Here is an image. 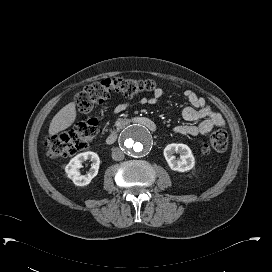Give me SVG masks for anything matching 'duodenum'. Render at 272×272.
I'll return each instance as SVG.
<instances>
[{
	"instance_id": "410a0bca",
	"label": "duodenum",
	"mask_w": 272,
	"mask_h": 272,
	"mask_svg": "<svg viewBox=\"0 0 272 272\" xmlns=\"http://www.w3.org/2000/svg\"><path fill=\"white\" fill-rule=\"evenodd\" d=\"M132 124V120L131 119H124L120 122V124L115 127L113 130H111L108 135L106 136V143L107 144H113L114 142H116L119 132L122 128L128 126ZM142 124L144 127L148 128L150 131L155 132L157 127L154 124V122L150 121V120H143Z\"/></svg>"
}]
</instances>
